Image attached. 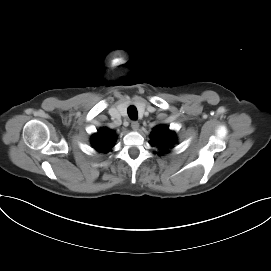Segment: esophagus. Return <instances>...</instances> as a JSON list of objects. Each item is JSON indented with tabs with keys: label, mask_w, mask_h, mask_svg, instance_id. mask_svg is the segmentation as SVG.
Wrapping results in <instances>:
<instances>
[{
	"label": "esophagus",
	"mask_w": 271,
	"mask_h": 271,
	"mask_svg": "<svg viewBox=\"0 0 271 271\" xmlns=\"http://www.w3.org/2000/svg\"><path fill=\"white\" fill-rule=\"evenodd\" d=\"M131 127H132L133 130H138L139 129L138 121H132L131 122Z\"/></svg>",
	"instance_id": "1"
}]
</instances>
